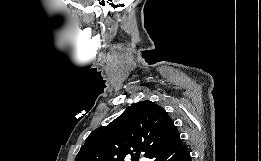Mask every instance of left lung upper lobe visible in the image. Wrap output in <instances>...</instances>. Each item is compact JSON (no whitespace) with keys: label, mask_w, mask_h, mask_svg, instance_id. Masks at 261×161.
<instances>
[{"label":"left lung upper lobe","mask_w":261,"mask_h":161,"mask_svg":"<svg viewBox=\"0 0 261 161\" xmlns=\"http://www.w3.org/2000/svg\"><path fill=\"white\" fill-rule=\"evenodd\" d=\"M176 130L161 106L141 101L128 107L109 125L94 130L75 161H124L127 156L138 161L141 151L149 158Z\"/></svg>","instance_id":"1"}]
</instances>
